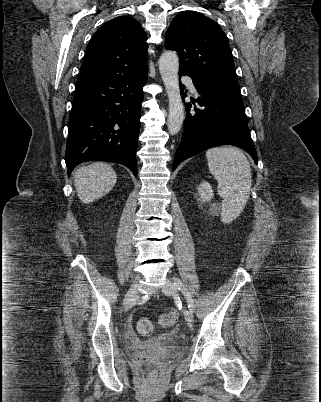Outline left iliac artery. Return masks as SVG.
<instances>
[{
	"instance_id": "1",
	"label": "left iliac artery",
	"mask_w": 321,
	"mask_h": 402,
	"mask_svg": "<svg viewBox=\"0 0 321 402\" xmlns=\"http://www.w3.org/2000/svg\"><path fill=\"white\" fill-rule=\"evenodd\" d=\"M174 285L175 287L182 292V294L185 296L187 303H188V308L193 312L194 311V302L192 300V297L187 290V288L184 286V284L181 282L180 279L174 278Z\"/></svg>"
}]
</instances>
